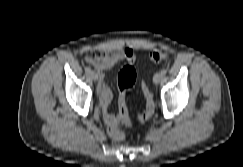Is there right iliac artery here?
<instances>
[{
  "instance_id": "1",
  "label": "right iliac artery",
  "mask_w": 243,
  "mask_h": 167,
  "mask_svg": "<svg viewBox=\"0 0 243 167\" xmlns=\"http://www.w3.org/2000/svg\"><path fill=\"white\" fill-rule=\"evenodd\" d=\"M85 71H86L87 73H90V72H91V68H90V67H85Z\"/></svg>"
}]
</instances>
